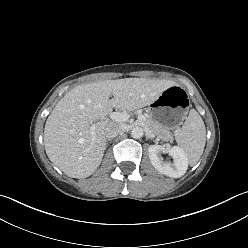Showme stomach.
Listing matches in <instances>:
<instances>
[{
  "label": "stomach",
  "mask_w": 248,
  "mask_h": 248,
  "mask_svg": "<svg viewBox=\"0 0 248 248\" xmlns=\"http://www.w3.org/2000/svg\"><path fill=\"white\" fill-rule=\"evenodd\" d=\"M189 107L186 90L180 85H174L163 91L149 105L148 115L168 130H176L185 120Z\"/></svg>",
  "instance_id": "0dacf381"
}]
</instances>
